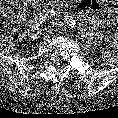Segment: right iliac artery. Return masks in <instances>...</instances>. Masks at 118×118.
Listing matches in <instances>:
<instances>
[{
    "label": "right iliac artery",
    "mask_w": 118,
    "mask_h": 118,
    "mask_svg": "<svg viewBox=\"0 0 118 118\" xmlns=\"http://www.w3.org/2000/svg\"><path fill=\"white\" fill-rule=\"evenodd\" d=\"M54 15H55V11L54 10H48V11H46L45 14L39 16L38 22L42 23L43 21L49 20Z\"/></svg>",
    "instance_id": "82829eb1"
}]
</instances>
